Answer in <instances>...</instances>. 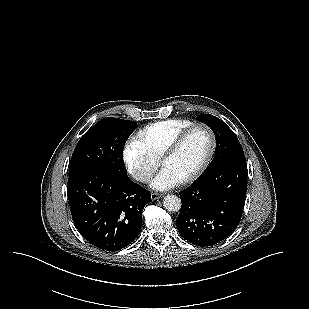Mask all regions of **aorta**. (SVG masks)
<instances>
[{
  "mask_svg": "<svg viewBox=\"0 0 309 309\" xmlns=\"http://www.w3.org/2000/svg\"><path fill=\"white\" fill-rule=\"evenodd\" d=\"M163 205L170 212H177L181 208V200L176 195H167L164 198Z\"/></svg>",
  "mask_w": 309,
  "mask_h": 309,
  "instance_id": "aorta-1",
  "label": "aorta"
}]
</instances>
